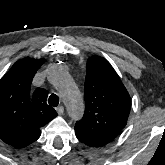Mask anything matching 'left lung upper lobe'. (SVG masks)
<instances>
[{"instance_id":"5c2ea615","label":"left lung upper lobe","mask_w":165,"mask_h":165,"mask_svg":"<svg viewBox=\"0 0 165 165\" xmlns=\"http://www.w3.org/2000/svg\"><path fill=\"white\" fill-rule=\"evenodd\" d=\"M84 99L85 113L75 131L102 146L110 143L127 123L131 98L113 67L102 57L92 56L87 61Z\"/></svg>"}]
</instances>
